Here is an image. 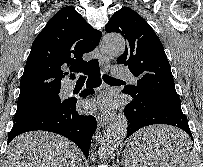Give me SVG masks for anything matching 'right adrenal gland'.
Wrapping results in <instances>:
<instances>
[{
  "instance_id": "right-adrenal-gland-1",
  "label": "right adrenal gland",
  "mask_w": 203,
  "mask_h": 167,
  "mask_svg": "<svg viewBox=\"0 0 203 167\" xmlns=\"http://www.w3.org/2000/svg\"><path fill=\"white\" fill-rule=\"evenodd\" d=\"M80 167H83V164H82V163H80Z\"/></svg>"
}]
</instances>
